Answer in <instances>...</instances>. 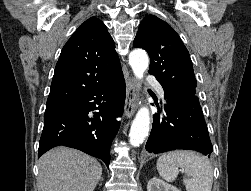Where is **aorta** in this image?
<instances>
[{
	"instance_id": "obj_1",
	"label": "aorta",
	"mask_w": 251,
	"mask_h": 191,
	"mask_svg": "<svg viewBox=\"0 0 251 191\" xmlns=\"http://www.w3.org/2000/svg\"><path fill=\"white\" fill-rule=\"evenodd\" d=\"M129 64L137 80H142L144 72L149 66L148 56L145 50H133L129 54ZM150 127V113L148 107L138 109L130 127L129 141L131 145H140L148 135Z\"/></svg>"
}]
</instances>
